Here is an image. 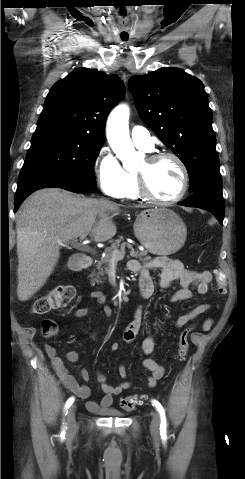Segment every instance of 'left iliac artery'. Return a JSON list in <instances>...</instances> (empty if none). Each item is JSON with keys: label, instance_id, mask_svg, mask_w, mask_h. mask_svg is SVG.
<instances>
[{"label": "left iliac artery", "instance_id": "obj_1", "mask_svg": "<svg viewBox=\"0 0 245 479\" xmlns=\"http://www.w3.org/2000/svg\"><path fill=\"white\" fill-rule=\"evenodd\" d=\"M152 405L157 409V411L159 412L160 414V419H161V422H160V435L162 437L163 440H165L167 438L166 436V433H167V421H166V415H165V410L163 408V406L161 405L160 402H158L157 400H152Z\"/></svg>", "mask_w": 245, "mask_h": 479}]
</instances>
